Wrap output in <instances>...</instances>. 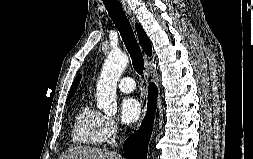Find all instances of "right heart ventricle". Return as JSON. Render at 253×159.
Wrapping results in <instances>:
<instances>
[{
  "mask_svg": "<svg viewBox=\"0 0 253 159\" xmlns=\"http://www.w3.org/2000/svg\"><path fill=\"white\" fill-rule=\"evenodd\" d=\"M71 137L79 146H97L103 143V115L88 103L77 109L73 120Z\"/></svg>",
  "mask_w": 253,
  "mask_h": 159,
  "instance_id": "obj_1",
  "label": "right heart ventricle"
}]
</instances>
